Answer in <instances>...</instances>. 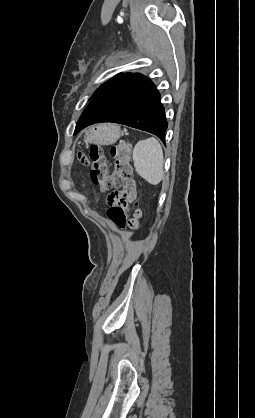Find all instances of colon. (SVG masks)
I'll return each mask as SVG.
<instances>
[{"instance_id": "obj_1", "label": "colon", "mask_w": 255, "mask_h": 418, "mask_svg": "<svg viewBox=\"0 0 255 418\" xmlns=\"http://www.w3.org/2000/svg\"><path fill=\"white\" fill-rule=\"evenodd\" d=\"M110 155L114 161V170L112 172L107 170L99 147L92 146L90 148L89 159L92 161L90 178L92 182L99 187L101 192H108L120 187L132 176L131 146L129 143L122 142L113 146L110 150ZM80 158L83 163L88 161L87 157L82 154L80 155ZM125 201L126 197L123 193L112 192L108 196V203L110 206L108 217L119 228H124L126 226L137 228L138 220L141 217L139 203L137 201L134 202L133 218L128 220L127 211L124 206Z\"/></svg>"}]
</instances>
